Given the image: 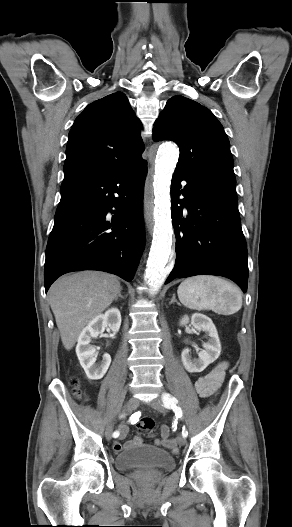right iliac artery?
Listing matches in <instances>:
<instances>
[{"label": "right iliac artery", "instance_id": "obj_1", "mask_svg": "<svg viewBox=\"0 0 292 527\" xmlns=\"http://www.w3.org/2000/svg\"><path fill=\"white\" fill-rule=\"evenodd\" d=\"M138 418L139 417H137L136 414L132 413V416L128 418L129 420H127V423H129L132 427H135L139 423ZM119 434H120L119 431H115L113 433V437L117 438Z\"/></svg>", "mask_w": 292, "mask_h": 527}]
</instances>
